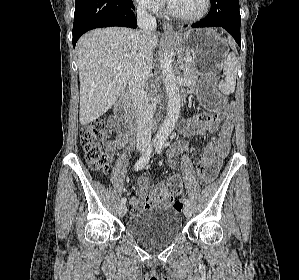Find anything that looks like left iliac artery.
Returning a JSON list of instances; mask_svg holds the SVG:
<instances>
[{"mask_svg":"<svg viewBox=\"0 0 299 280\" xmlns=\"http://www.w3.org/2000/svg\"><path fill=\"white\" fill-rule=\"evenodd\" d=\"M165 144V139H160L157 141L156 143V152L157 153H161V149H162V146ZM185 205L186 206H190V201L188 199H185Z\"/></svg>","mask_w":299,"mask_h":280,"instance_id":"obj_1","label":"left iliac artery"}]
</instances>
